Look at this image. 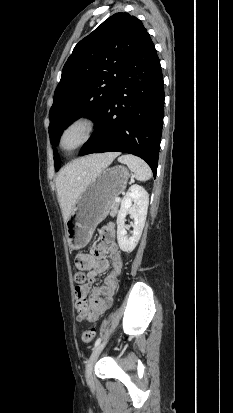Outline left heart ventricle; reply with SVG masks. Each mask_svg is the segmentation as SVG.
Listing matches in <instances>:
<instances>
[{"label": "left heart ventricle", "mask_w": 233, "mask_h": 413, "mask_svg": "<svg viewBox=\"0 0 233 413\" xmlns=\"http://www.w3.org/2000/svg\"><path fill=\"white\" fill-rule=\"evenodd\" d=\"M79 137H80L79 130H73L69 132L64 139V147L65 148L72 147L79 140Z\"/></svg>", "instance_id": "b2bd125f"}]
</instances>
